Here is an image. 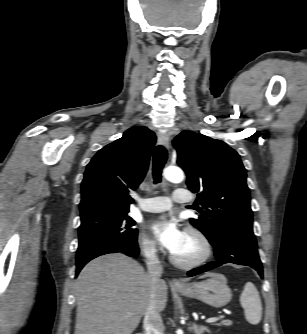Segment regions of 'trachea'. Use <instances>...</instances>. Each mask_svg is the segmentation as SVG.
<instances>
[{"label": "trachea", "instance_id": "trachea-1", "mask_svg": "<svg viewBox=\"0 0 307 334\" xmlns=\"http://www.w3.org/2000/svg\"><path fill=\"white\" fill-rule=\"evenodd\" d=\"M167 161V151L165 147L159 145L155 148L153 154V178L154 183H160L162 180V169Z\"/></svg>", "mask_w": 307, "mask_h": 334}]
</instances>
